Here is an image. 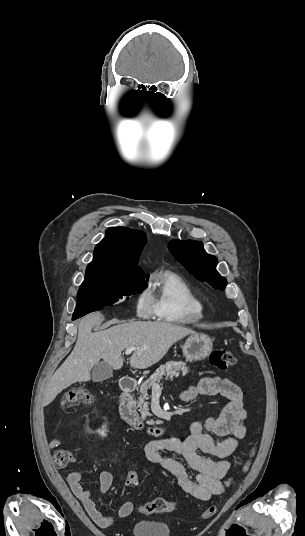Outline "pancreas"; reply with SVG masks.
I'll return each mask as SVG.
<instances>
[{
    "label": "pancreas",
    "instance_id": "pancreas-1",
    "mask_svg": "<svg viewBox=\"0 0 305 536\" xmlns=\"http://www.w3.org/2000/svg\"><path fill=\"white\" fill-rule=\"evenodd\" d=\"M189 372L187 364L185 362H167L165 366H160L157 368L155 374H152L146 382H143L140 386V398L137 402V408H140L142 420H146L147 416H151L148 408L149 400L147 390H150L153 384H160L161 380H174V378H179V376H186Z\"/></svg>",
    "mask_w": 305,
    "mask_h": 536
}]
</instances>
